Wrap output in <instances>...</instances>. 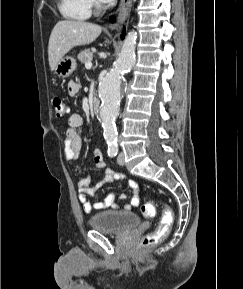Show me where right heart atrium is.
Wrapping results in <instances>:
<instances>
[{
	"mask_svg": "<svg viewBox=\"0 0 243 289\" xmlns=\"http://www.w3.org/2000/svg\"><path fill=\"white\" fill-rule=\"evenodd\" d=\"M94 2V0H90V3H93Z\"/></svg>",
	"mask_w": 243,
	"mask_h": 289,
	"instance_id": "right-heart-atrium-1",
	"label": "right heart atrium"
}]
</instances>
